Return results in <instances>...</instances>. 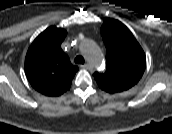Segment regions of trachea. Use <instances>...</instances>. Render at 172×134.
I'll list each match as a JSON object with an SVG mask.
<instances>
[{"label": "trachea", "instance_id": "1", "mask_svg": "<svg viewBox=\"0 0 172 134\" xmlns=\"http://www.w3.org/2000/svg\"><path fill=\"white\" fill-rule=\"evenodd\" d=\"M75 63H80V64H84L85 60L82 56L78 55L75 57Z\"/></svg>", "mask_w": 172, "mask_h": 134}]
</instances>
